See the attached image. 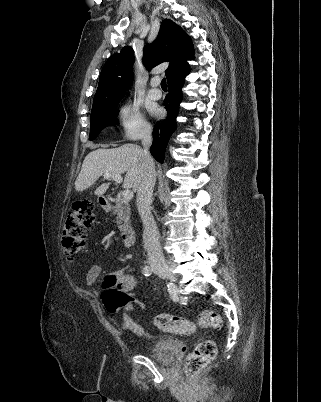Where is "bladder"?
Instances as JSON below:
<instances>
[{
	"instance_id": "31cf9c89",
	"label": "bladder",
	"mask_w": 321,
	"mask_h": 402,
	"mask_svg": "<svg viewBox=\"0 0 321 402\" xmlns=\"http://www.w3.org/2000/svg\"><path fill=\"white\" fill-rule=\"evenodd\" d=\"M178 351L177 341L169 335H161L150 347L149 355L160 362H171Z\"/></svg>"
}]
</instances>
